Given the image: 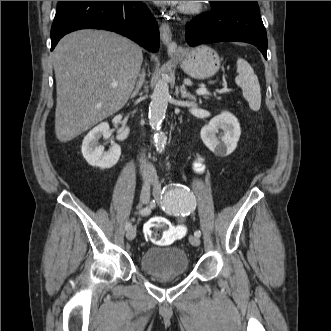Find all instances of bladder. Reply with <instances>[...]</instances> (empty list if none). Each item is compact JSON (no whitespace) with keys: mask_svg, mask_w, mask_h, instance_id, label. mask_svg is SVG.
<instances>
[{"mask_svg":"<svg viewBox=\"0 0 331 331\" xmlns=\"http://www.w3.org/2000/svg\"><path fill=\"white\" fill-rule=\"evenodd\" d=\"M140 267L151 277H180L190 267L186 252L176 245L153 247L143 251L139 258Z\"/></svg>","mask_w":331,"mask_h":331,"instance_id":"1","label":"bladder"}]
</instances>
